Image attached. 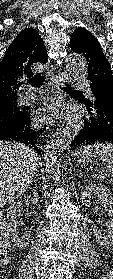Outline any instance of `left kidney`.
I'll return each mask as SVG.
<instances>
[{
    "label": "left kidney",
    "instance_id": "5707ae66",
    "mask_svg": "<svg viewBox=\"0 0 113 279\" xmlns=\"http://www.w3.org/2000/svg\"><path fill=\"white\" fill-rule=\"evenodd\" d=\"M96 198L102 203L105 210H107L108 221L104 233L98 227L94 226V237L98 244L109 248L113 245V194L102 186L93 184L84 186L81 192L82 204L90 207Z\"/></svg>",
    "mask_w": 113,
    "mask_h": 279
}]
</instances>
